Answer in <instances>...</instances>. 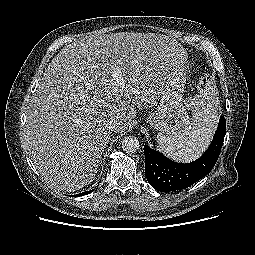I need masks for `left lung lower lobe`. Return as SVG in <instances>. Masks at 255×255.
Here are the masks:
<instances>
[{
  "mask_svg": "<svg viewBox=\"0 0 255 255\" xmlns=\"http://www.w3.org/2000/svg\"><path fill=\"white\" fill-rule=\"evenodd\" d=\"M226 133L224 116L220 117L218 128L207 151L191 163H176L162 153L144 146L145 175L149 184L158 191H175L188 188L214 167Z\"/></svg>",
  "mask_w": 255,
  "mask_h": 255,
  "instance_id": "1",
  "label": "left lung lower lobe"
}]
</instances>
